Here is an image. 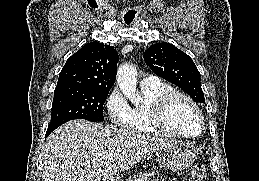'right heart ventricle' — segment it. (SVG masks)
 <instances>
[{
  "instance_id": "obj_1",
  "label": "right heart ventricle",
  "mask_w": 259,
  "mask_h": 181,
  "mask_svg": "<svg viewBox=\"0 0 259 181\" xmlns=\"http://www.w3.org/2000/svg\"><path fill=\"white\" fill-rule=\"evenodd\" d=\"M171 90L173 88L170 85L161 81L150 85H141L143 103L130 108L126 127L140 133L169 135L155 124L152 108L161 95Z\"/></svg>"
}]
</instances>
